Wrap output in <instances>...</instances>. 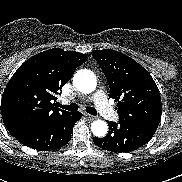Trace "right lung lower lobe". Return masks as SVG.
Returning a JSON list of instances; mask_svg holds the SVG:
<instances>
[{
    "label": "right lung lower lobe",
    "mask_w": 182,
    "mask_h": 182,
    "mask_svg": "<svg viewBox=\"0 0 182 182\" xmlns=\"http://www.w3.org/2000/svg\"><path fill=\"white\" fill-rule=\"evenodd\" d=\"M81 117L80 112L69 113L49 123L20 132L14 137L25 146L37 150L61 148L70 141L72 128Z\"/></svg>",
    "instance_id": "1"
}]
</instances>
